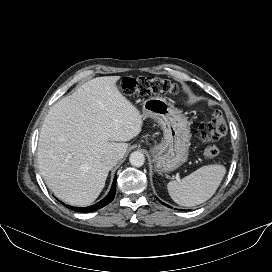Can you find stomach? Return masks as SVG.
I'll list each match as a JSON object with an SVG mask.
<instances>
[{
  "mask_svg": "<svg viewBox=\"0 0 272 272\" xmlns=\"http://www.w3.org/2000/svg\"><path fill=\"white\" fill-rule=\"evenodd\" d=\"M141 117L155 119L164 132L163 141L151 149L158 173L176 170L188 159L190 130L184 116L168 101L151 97L144 101Z\"/></svg>",
  "mask_w": 272,
  "mask_h": 272,
  "instance_id": "1",
  "label": "stomach"
}]
</instances>
